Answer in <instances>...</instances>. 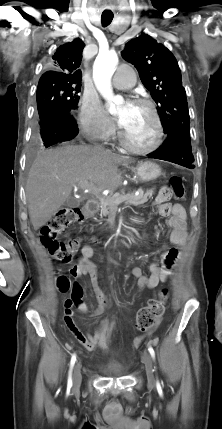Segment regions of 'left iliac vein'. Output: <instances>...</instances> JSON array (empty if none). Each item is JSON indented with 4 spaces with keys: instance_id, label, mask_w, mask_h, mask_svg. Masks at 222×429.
<instances>
[{
    "instance_id": "4c4485c4",
    "label": "left iliac vein",
    "mask_w": 222,
    "mask_h": 429,
    "mask_svg": "<svg viewBox=\"0 0 222 429\" xmlns=\"http://www.w3.org/2000/svg\"><path fill=\"white\" fill-rule=\"evenodd\" d=\"M142 361L145 365L148 384L154 385L155 378H154V369H153V362H152L151 356L147 352H144L142 355Z\"/></svg>"
}]
</instances>
